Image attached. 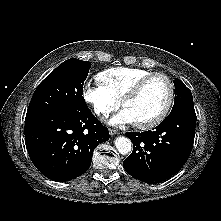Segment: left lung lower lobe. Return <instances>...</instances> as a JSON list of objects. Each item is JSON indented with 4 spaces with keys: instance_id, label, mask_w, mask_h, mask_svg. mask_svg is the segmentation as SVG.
Instances as JSON below:
<instances>
[{
    "instance_id": "left-lung-lower-lobe-1",
    "label": "left lung lower lobe",
    "mask_w": 221,
    "mask_h": 221,
    "mask_svg": "<svg viewBox=\"0 0 221 221\" xmlns=\"http://www.w3.org/2000/svg\"><path fill=\"white\" fill-rule=\"evenodd\" d=\"M195 127V112H176L169 114L153 130L127 132L133 152L123 161L125 171L151 184L170 178L191 153Z\"/></svg>"
}]
</instances>
